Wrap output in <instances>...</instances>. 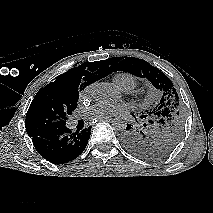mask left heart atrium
Here are the masks:
<instances>
[{
    "label": "left heart atrium",
    "instance_id": "1",
    "mask_svg": "<svg viewBox=\"0 0 213 213\" xmlns=\"http://www.w3.org/2000/svg\"><path fill=\"white\" fill-rule=\"evenodd\" d=\"M124 111V106L107 103H97L88 108L85 112L87 118L102 119L111 117Z\"/></svg>",
    "mask_w": 213,
    "mask_h": 213
}]
</instances>
